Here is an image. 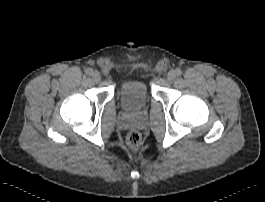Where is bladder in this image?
I'll return each instance as SVG.
<instances>
[{
	"mask_svg": "<svg viewBox=\"0 0 265 202\" xmlns=\"http://www.w3.org/2000/svg\"><path fill=\"white\" fill-rule=\"evenodd\" d=\"M117 96L121 105L128 111L138 110L152 99L151 91L143 79L122 82Z\"/></svg>",
	"mask_w": 265,
	"mask_h": 202,
	"instance_id": "obj_1",
	"label": "bladder"
}]
</instances>
